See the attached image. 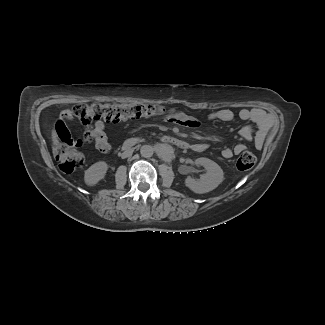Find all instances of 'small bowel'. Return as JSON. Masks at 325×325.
<instances>
[{
  "mask_svg": "<svg viewBox=\"0 0 325 325\" xmlns=\"http://www.w3.org/2000/svg\"><path fill=\"white\" fill-rule=\"evenodd\" d=\"M69 113V109L64 110L62 112V117L66 118L69 116ZM235 117V113L229 109H221L209 114V119L216 122H230L233 121ZM238 117L243 121L254 123L257 126L260 136L264 134L270 123V117L261 109H241L238 113ZM180 123L189 128H197L200 124L196 118H188L185 123ZM56 131L60 136V142L69 147L76 146L83 148L93 142L99 152L107 154L111 151L112 147L105 132V123L102 120H96L93 125H86L85 134L80 137H73L67 134L69 133L67 124L63 120L57 122ZM241 136L245 139H249L252 136V129L250 127L243 128ZM191 149L196 152H203L207 149V145L205 143H195L191 145ZM245 149L246 146L240 143L233 148L223 149L222 156L225 159H230L233 155H237Z\"/></svg>",
  "mask_w": 325,
  "mask_h": 325,
  "instance_id": "small-bowel-1",
  "label": "small bowel"
}]
</instances>
